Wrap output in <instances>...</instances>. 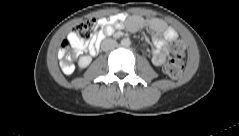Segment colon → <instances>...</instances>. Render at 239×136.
I'll list each match as a JSON object with an SVG mask.
<instances>
[{
	"label": "colon",
	"mask_w": 239,
	"mask_h": 136,
	"mask_svg": "<svg viewBox=\"0 0 239 136\" xmlns=\"http://www.w3.org/2000/svg\"><path fill=\"white\" fill-rule=\"evenodd\" d=\"M97 22L95 18H90L77 24L74 28L73 35L78 42H83L90 38L92 32L96 28ZM79 49L77 45L68 37L63 40L59 48V60L61 68L70 73L73 69V59L78 55ZM185 46L182 41H174L171 46L172 56L164 65L165 73L171 78H178L183 72V57Z\"/></svg>",
	"instance_id": "obj_1"
}]
</instances>
